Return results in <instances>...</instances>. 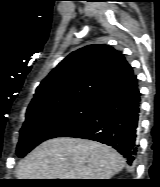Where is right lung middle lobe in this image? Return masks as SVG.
Wrapping results in <instances>:
<instances>
[{"label":"right lung middle lobe","mask_w":160,"mask_h":187,"mask_svg":"<svg viewBox=\"0 0 160 187\" xmlns=\"http://www.w3.org/2000/svg\"><path fill=\"white\" fill-rule=\"evenodd\" d=\"M97 102V99H76L28 109L17 155L24 157L41 142L59 137L88 116Z\"/></svg>","instance_id":"obj_1"}]
</instances>
